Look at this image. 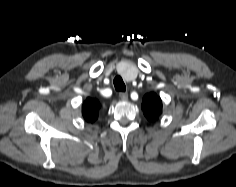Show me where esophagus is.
<instances>
[{"label": "esophagus", "instance_id": "esophagus-1", "mask_svg": "<svg viewBox=\"0 0 236 187\" xmlns=\"http://www.w3.org/2000/svg\"><path fill=\"white\" fill-rule=\"evenodd\" d=\"M119 97L121 100L126 101L128 100V94L126 92H120Z\"/></svg>", "mask_w": 236, "mask_h": 187}]
</instances>
